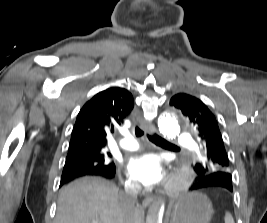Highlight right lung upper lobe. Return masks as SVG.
<instances>
[{
	"instance_id": "right-lung-upper-lobe-1",
	"label": "right lung upper lobe",
	"mask_w": 267,
	"mask_h": 223,
	"mask_svg": "<svg viewBox=\"0 0 267 223\" xmlns=\"http://www.w3.org/2000/svg\"><path fill=\"white\" fill-rule=\"evenodd\" d=\"M134 107L131 93L111 87L96 94L80 110L71 135L69 152L93 146L103 150L107 134L121 125Z\"/></svg>"
}]
</instances>
